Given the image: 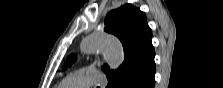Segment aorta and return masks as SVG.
<instances>
[{"mask_svg": "<svg viewBox=\"0 0 223 88\" xmlns=\"http://www.w3.org/2000/svg\"><path fill=\"white\" fill-rule=\"evenodd\" d=\"M81 51L83 53L102 52L106 63L113 70L124 61V52L119 40L104 33H94L86 37L81 43Z\"/></svg>", "mask_w": 223, "mask_h": 88, "instance_id": "obj_1", "label": "aorta"}]
</instances>
